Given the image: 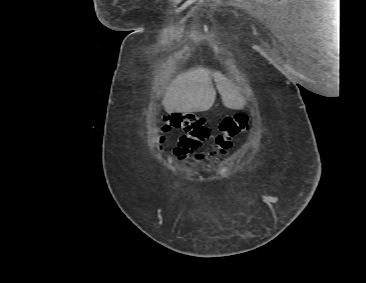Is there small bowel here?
Here are the masks:
<instances>
[{
  "label": "small bowel",
  "instance_id": "c3829d8e",
  "mask_svg": "<svg viewBox=\"0 0 366 283\" xmlns=\"http://www.w3.org/2000/svg\"><path fill=\"white\" fill-rule=\"evenodd\" d=\"M166 138L165 137H161L160 138V148H162V145L165 143ZM232 144L229 145H224L220 148V150L217 153V156L223 155L227 152V150H229V148L231 147Z\"/></svg>",
  "mask_w": 366,
  "mask_h": 283
}]
</instances>
